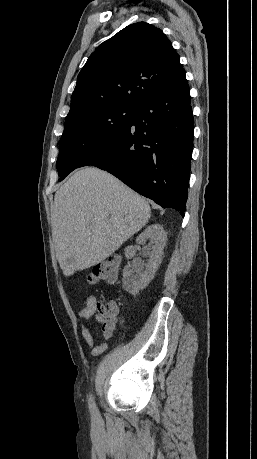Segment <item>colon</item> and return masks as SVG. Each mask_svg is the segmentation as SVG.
Masks as SVG:
<instances>
[{"label": "colon", "mask_w": 257, "mask_h": 459, "mask_svg": "<svg viewBox=\"0 0 257 459\" xmlns=\"http://www.w3.org/2000/svg\"><path fill=\"white\" fill-rule=\"evenodd\" d=\"M119 266L118 258H108L101 263L94 266L91 273L88 275V281L95 283L98 281L113 282L117 276V270ZM84 309H93L98 313L99 316L107 318L111 313L109 303L95 302L94 304H85Z\"/></svg>", "instance_id": "obj_1"}]
</instances>
